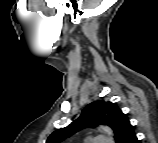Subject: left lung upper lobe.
I'll list each match as a JSON object with an SVG mask.
<instances>
[{"mask_svg":"<svg viewBox=\"0 0 158 143\" xmlns=\"http://www.w3.org/2000/svg\"><path fill=\"white\" fill-rule=\"evenodd\" d=\"M98 124L111 127L117 143H127L135 135L127 115L115 103L98 100L88 104L79 118L69 126L54 131L46 143H58L85 127H95Z\"/></svg>","mask_w":158,"mask_h":143,"instance_id":"1","label":"left lung upper lobe"}]
</instances>
